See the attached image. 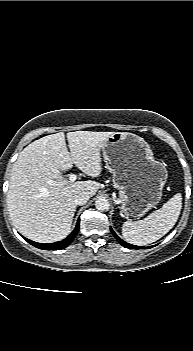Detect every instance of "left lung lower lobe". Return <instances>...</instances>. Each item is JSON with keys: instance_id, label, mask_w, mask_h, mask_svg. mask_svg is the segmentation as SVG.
I'll return each instance as SVG.
<instances>
[{"instance_id": "left-lung-lower-lobe-1", "label": "left lung lower lobe", "mask_w": 193, "mask_h": 351, "mask_svg": "<svg viewBox=\"0 0 193 351\" xmlns=\"http://www.w3.org/2000/svg\"><path fill=\"white\" fill-rule=\"evenodd\" d=\"M113 236L117 239V241L124 247L129 248V249H134V248H139V249H147L150 247H140V246H135V245H131L129 243H126L125 241H123L121 238H119L116 233L112 230V228L110 229Z\"/></svg>"}]
</instances>
